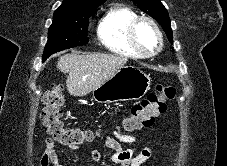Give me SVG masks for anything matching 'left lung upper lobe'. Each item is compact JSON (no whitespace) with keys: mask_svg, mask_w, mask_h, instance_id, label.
I'll return each mask as SVG.
<instances>
[{"mask_svg":"<svg viewBox=\"0 0 227 166\" xmlns=\"http://www.w3.org/2000/svg\"><path fill=\"white\" fill-rule=\"evenodd\" d=\"M143 12L154 18L163 28L169 41L173 43L171 22L168 12L160 0H131Z\"/></svg>","mask_w":227,"mask_h":166,"instance_id":"1","label":"left lung upper lobe"}]
</instances>
